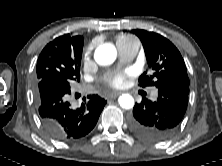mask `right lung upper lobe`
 <instances>
[{"mask_svg":"<svg viewBox=\"0 0 222 166\" xmlns=\"http://www.w3.org/2000/svg\"><path fill=\"white\" fill-rule=\"evenodd\" d=\"M71 36L70 34H65L63 36H60L56 39H54L52 42H50L49 44H47L48 47H65L67 45H69L72 41H71Z\"/></svg>","mask_w":222,"mask_h":166,"instance_id":"right-lung-upper-lobe-1","label":"right lung upper lobe"}]
</instances>
